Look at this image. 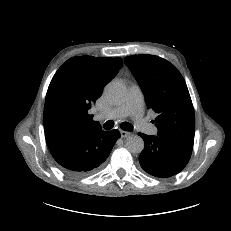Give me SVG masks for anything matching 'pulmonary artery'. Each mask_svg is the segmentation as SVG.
<instances>
[{"instance_id": "pulmonary-artery-1", "label": "pulmonary artery", "mask_w": 231, "mask_h": 231, "mask_svg": "<svg viewBox=\"0 0 231 231\" xmlns=\"http://www.w3.org/2000/svg\"><path fill=\"white\" fill-rule=\"evenodd\" d=\"M144 98L140 86L133 83L129 87V92L125 102L107 113L99 114L98 119H120L131 117L140 130L149 135H156L158 129L156 126L148 123L143 117Z\"/></svg>"}]
</instances>
